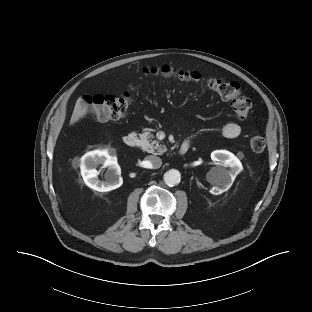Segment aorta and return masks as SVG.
<instances>
[{
	"label": "aorta",
	"mask_w": 312,
	"mask_h": 312,
	"mask_svg": "<svg viewBox=\"0 0 312 312\" xmlns=\"http://www.w3.org/2000/svg\"><path fill=\"white\" fill-rule=\"evenodd\" d=\"M181 174L178 170L171 169L164 174V182L168 186H175L180 183Z\"/></svg>",
	"instance_id": "aorta-1"
}]
</instances>
